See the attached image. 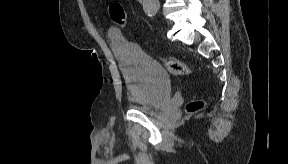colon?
I'll return each mask as SVG.
<instances>
[{
	"label": "colon",
	"mask_w": 288,
	"mask_h": 164,
	"mask_svg": "<svg viewBox=\"0 0 288 164\" xmlns=\"http://www.w3.org/2000/svg\"><path fill=\"white\" fill-rule=\"evenodd\" d=\"M110 15L113 19L117 20L120 27L125 28L127 26L124 11L118 4H115L110 8ZM162 61L164 65L167 67V69L175 76L179 77L188 76L192 73L191 68L179 60L171 58H163ZM204 107H205L204 100L201 99L194 100L187 104L186 111L189 114H195L197 112L202 111Z\"/></svg>",
	"instance_id": "1"
}]
</instances>
